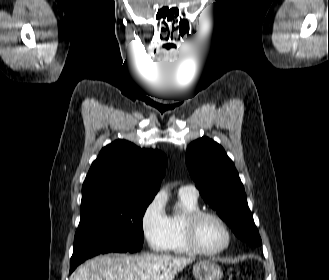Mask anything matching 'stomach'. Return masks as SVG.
<instances>
[{
  "label": "stomach",
  "mask_w": 329,
  "mask_h": 280,
  "mask_svg": "<svg viewBox=\"0 0 329 280\" xmlns=\"http://www.w3.org/2000/svg\"><path fill=\"white\" fill-rule=\"evenodd\" d=\"M193 274L196 280H220L221 268L213 262L199 261L193 266Z\"/></svg>",
  "instance_id": "0dacf381"
}]
</instances>
